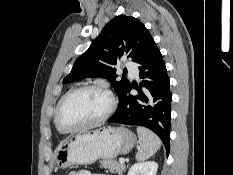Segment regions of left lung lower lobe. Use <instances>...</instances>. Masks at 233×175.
<instances>
[{"mask_svg": "<svg viewBox=\"0 0 233 175\" xmlns=\"http://www.w3.org/2000/svg\"><path fill=\"white\" fill-rule=\"evenodd\" d=\"M139 64L140 78L143 79L140 87L130 84L108 122L151 129L162 140L168 155L172 94L166 66L156 44ZM132 88L138 91L137 96L128 94Z\"/></svg>", "mask_w": 233, "mask_h": 175, "instance_id": "0a47b994", "label": "left lung lower lobe"}]
</instances>
